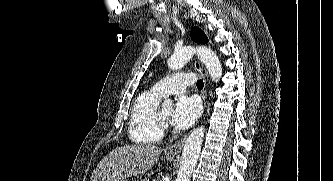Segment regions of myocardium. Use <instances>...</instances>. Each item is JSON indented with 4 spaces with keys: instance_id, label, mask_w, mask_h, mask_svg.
Returning a JSON list of instances; mask_svg holds the SVG:
<instances>
[{
    "instance_id": "1",
    "label": "myocardium",
    "mask_w": 333,
    "mask_h": 181,
    "mask_svg": "<svg viewBox=\"0 0 333 181\" xmlns=\"http://www.w3.org/2000/svg\"><path fill=\"white\" fill-rule=\"evenodd\" d=\"M156 117H157V120L159 121V123L161 125L166 122V120L161 117V115H160V109L159 108L156 111Z\"/></svg>"
}]
</instances>
